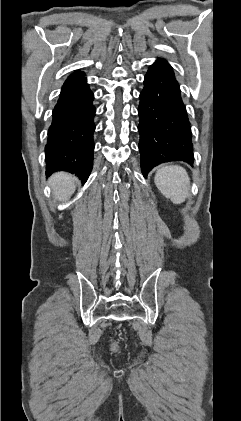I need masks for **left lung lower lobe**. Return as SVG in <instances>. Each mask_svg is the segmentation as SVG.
<instances>
[{
    "instance_id": "0a47b994",
    "label": "left lung lower lobe",
    "mask_w": 241,
    "mask_h": 421,
    "mask_svg": "<svg viewBox=\"0 0 241 421\" xmlns=\"http://www.w3.org/2000/svg\"><path fill=\"white\" fill-rule=\"evenodd\" d=\"M139 98V150L144 177L160 163L192 164L190 122L179 84L167 61L158 59L150 66Z\"/></svg>"
}]
</instances>
